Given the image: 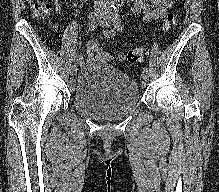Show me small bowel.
Returning a JSON list of instances; mask_svg holds the SVG:
<instances>
[{"mask_svg": "<svg viewBox=\"0 0 219 192\" xmlns=\"http://www.w3.org/2000/svg\"><path fill=\"white\" fill-rule=\"evenodd\" d=\"M133 6L131 11L133 13H141L144 22H149L154 19L164 18L167 11L172 7L173 0H150V3L145 0H132ZM56 13L61 11V5L57 4ZM106 37H113L114 32L108 29L104 30ZM103 51L96 40H89L87 42V58L86 61L89 63L104 62L101 58ZM118 59H123V55H118Z\"/></svg>", "mask_w": 219, "mask_h": 192, "instance_id": "small-bowel-1", "label": "small bowel"}]
</instances>
